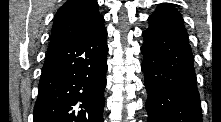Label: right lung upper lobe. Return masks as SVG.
I'll list each match as a JSON object with an SVG mask.
<instances>
[{
  "label": "right lung upper lobe",
  "mask_w": 221,
  "mask_h": 122,
  "mask_svg": "<svg viewBox=\"0 0 221 122\" xmlns=\"http://www.w3.org/2000/svg\"><path fill=\"white\" fill-rule=\"evenodd\" d=\"M103 22L96 0H68L56 13L48 51L79 38Z\"/></svg>",
  "instance_id": "obj_1"
}]
</instances>
